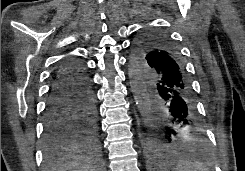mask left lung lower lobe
I'll list each match as a JSON object with an SVG mask.
<instances>
[{"label":"left lung lower lobe","mask_w":245,"mask_h":171,"mask_svg":"<svg viewBox=\"0 0 245 171\" xmlns=\"http://www.w3.org/2000/svg\"><path fill=\"white\" fill-rule=\"evenodd\" d=\"M149 61L130 62L137 67L138 76L150 95V109L154 111L153 124L160 125L163 137L150 133L145 137V147L150 167H162L171 162L167 156H179L178 151L166 148L191 132L198 123V114L190 80L175 47H161Z\"/></svg>","instance_id":"obj_1"}]
</instances>
